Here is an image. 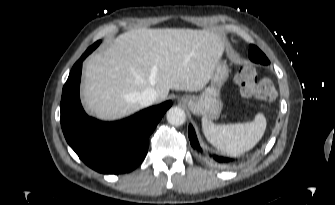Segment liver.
Wrapping results in <instances>:
<instances>
[{"label":"liver","mask_w":335,"mask_h":205,"mask_svg":"<svg viewBox=\"0 0 335 205\" xmlns=\"http://www.w3.org/2000/svg\"><path fill=\"white\" fill-rule=\"evenodd\" d=\"M223 50V40L207 30L132 29L87 60L83 101L97 118L117 120L140 110L137 96L147 88L156 90L157 102L170 89L199 91Z\"/></svg>","instance_id":"obj_1"}]
</instances>
